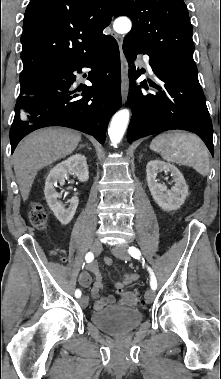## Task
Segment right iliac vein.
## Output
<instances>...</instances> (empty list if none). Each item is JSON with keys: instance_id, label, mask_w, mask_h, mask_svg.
<instances>
[{"instance_id": "right-iliac-vein-1", "label": "right iliac vein", "mask_w": 221, "mask_h": 379, "mask_svg": "<svg viewBox=\"0 0 221 379\" xmlns=\"http://www.w3.org/2000/svg\"><path fill=\"white\" fill-rule=\"evenodd\" d=\"M102 250V243L98 240L94 241L92 246H91V251L95 254L98 255ZM79 303L81 306L86 307L88 304V299L85 296H82L79 299Z\"/></svg>"}]
</instances>
